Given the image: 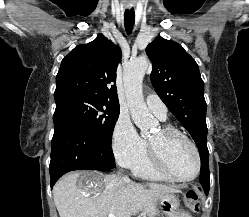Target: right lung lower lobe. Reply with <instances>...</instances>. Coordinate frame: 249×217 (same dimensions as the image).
<instances>
[{"label":"right lung lower lobe","mask_w":249,"mask_h":217,"mask_svg":"<svg viewBox=\"0 0 249 217\" xmlns=\"http://www.w3.org/2000/svg\"><path fill=\"white\" fill-rule=\"evenodd\" d=\"M115 167L111 144L91 135L73 119L54 115L51 144V188L72 170H109Z\"/></svg>","instance_id":"98d812e1"}]
</instances>
